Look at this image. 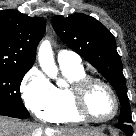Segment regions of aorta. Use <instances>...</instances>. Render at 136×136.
Instances as JSON below:
<instances>
[{
  "mask_svg": "<svg viewBox=\"0 0 136 136\" xmlns=\"http://www.w3.org/2000/svg\"><path fill=\"white\" fill-rule=\"evenodd\" d=\"M38 60L42 71L50 78L56 79L58 69L54 62L51 44L48 40L41 42L38 49ZM58 85L61 83L58 82Z\"/></svg>",
  "mask_w": 136,
  "mask_h": 136,
  "instance_id": "aorta-1",
  "label": "aorta"
}]
</instances>
